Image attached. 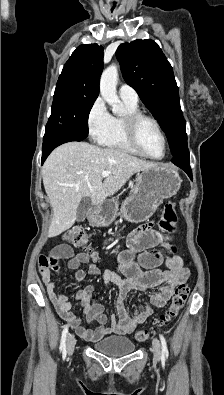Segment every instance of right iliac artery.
Instances as JSON below:
<instances>
[{"mask_svg":"<svg viewBox=\"0 0 224 395\" xmlns=\"http://www.w3.org/2000/svg\"><path fill=\"white\" fill-rule=\"evenodd\" d=\"M68 334V325H66L62 331L60 350L62 351L63 358L66 357V337Z\"/></svg>","mask_w":224,"mask_h":395,"instance_id":"right-iliac-artery-1","label":"right iliac artery"}]
</instances>
